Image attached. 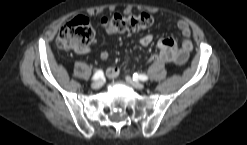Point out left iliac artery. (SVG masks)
Returning a JSON list of instances; mask_svg holds the SVG:
<instances>
[{
  "mask_svg": "<svg viewBox=\"0 0 247 145\" xmlns=\"http://www.w3.org/2000/svg\"><path fill=\"white\" fill-rule=\"evenodd\" d=\"M133 80L147 81L148 80V76L145 75V74H137V73H134L133 74Z\"/></svg>",
  "mask_w": 247,
  "mask_h": 145,
  "instance_id": "left-iliac-artery-1",
  "label": "left iliac artery"
}]
</instances>
